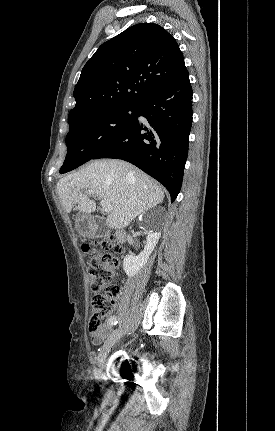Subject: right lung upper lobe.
<instances>
[{
	"instance_id": "right-lung-upper-lobe-1",
	"label": "right lung upper lobe",
	"mask_w": 275,
	"mask_h": 431,
	"mask_svg": "<svg viewBox=\"0 0 275 431\" xmlns=\"http://www.w3.org/2000/svg\"><path fill=\"white\" fill-rule=\"evenodd\" d=\"M185 70L171 34L157 24H136L102 44L85 64L68 122L114 106H137Z\"/></svg>"
}]
</instances>
